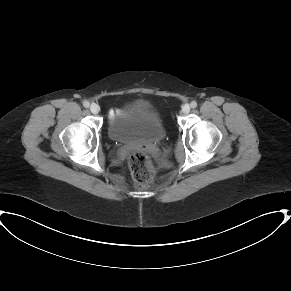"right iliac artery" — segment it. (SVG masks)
<instances>
[{
	"mask_svg": "<svg viewBox=\"0 0 291 291\" xmlns=\"http://www.w3.org/2000/svg\"><path fill=\"white\" fill-rule=\"evenodd\" d=\"M83 106H84L85 108H88V107L90 106V102H89V101H84V102H83Z\"/></svg>",
	"mask_w": 291,
	"mask_h": 291,
	"instance_id": "obj_1",
	"label": "right iliac artery"
}]
</instances>
